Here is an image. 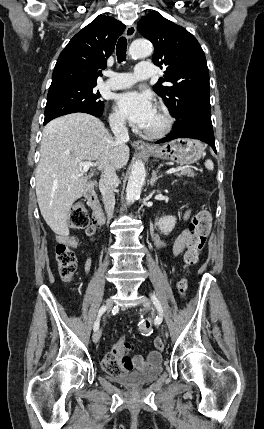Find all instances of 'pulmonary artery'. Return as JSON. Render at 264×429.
<instances>
[{"label":"pulmonary artery","mask_w":264,"mask_h":429,"mask_svg":"<svg viewBox=\"0 0 264 429\" xmlns=\"http://www.w3.org/2000/svg\"><path fill=\"white\" fill-rule=\"evenodd\" d=\"M107 76L109 79L103 83V87L111 90L124 89L132 86L138 80L151 78L153 76V66L149 62H141L136 66L133 73L109 71L107 72Z\"/></svg>","instance_id":"e3ab8cb5"}]
</instances>
